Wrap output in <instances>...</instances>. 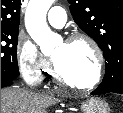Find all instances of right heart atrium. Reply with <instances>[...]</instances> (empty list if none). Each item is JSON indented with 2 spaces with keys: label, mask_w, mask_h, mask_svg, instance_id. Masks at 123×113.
<instances>
[{
  "label": "right heart atrium",
  "mask_w": 123,
  "mask_h": 113,
  "mask_svg": "<svg viewBox=\"0 0 123 113\" xmlns=\"http://www.w3.org/2000/svg\"><path fill=\"white\" fill-rule=\"evenodd\" d=\"M16 62L20 75L31 86L41 84L51 69L50 60L23 34L17 38Z\"/></svg>",
  "instance_id": "d8ad5b80"
}]
</instances>
